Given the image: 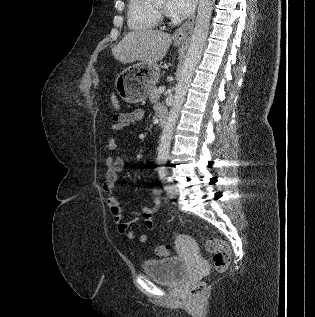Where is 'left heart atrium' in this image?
Wrapping results in <instances>:
<instances>
[{"label": "left heart atrium", "instance_id": "39dd6f15", "mask_svg": "<svg viewBox=\"0 0 315 317\" xmlns=\"http://www.w3.org/2000/svg\"><path fill=\"white\" fill-rule=\"evenodd\" d=\"M196 0H168L166 13L174 18H185L193 11Z\"/></svg>", "mask_w": 315, "mask_h": 317}]
</instances>
